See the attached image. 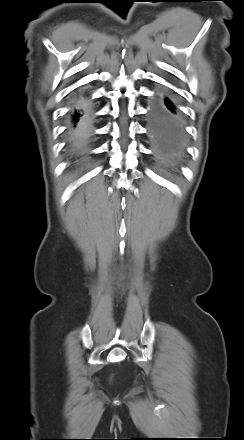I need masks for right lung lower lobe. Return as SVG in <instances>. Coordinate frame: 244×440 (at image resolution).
I'll return each mask as SVG.
<instances>
[{
	"instance_id": "98d812e1",
	"label": "right lung lower lobe",
	"mask_w": 244,
	"mask_h": 440,
	"mask_svg": "<svg viewBox=\"0 0 244 440\" xmlns=\"http://www.w3.org/2000/svg\"><path fill=\"white\" fill-rule=\"evenodd\" d=\"M93 118L82 101L78 100L70 110L66 130L68 145L78 148L87 143L91 137Z\"/></svg>"
}]
</instances>
